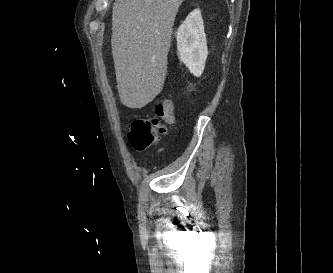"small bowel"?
<instances>
[{"label": "small bowel", "mask_w": 333, "mask_h": 273, "mask_svg": "<svg viewBox=\"0 0 333 273\" xmlns=\"http://www.w3.org/2000/svg\"><path fill=\"white\" fill-rule=\"evenodd\" d=\"M163 150H164V148H160V149L158 150V153L162 152Z\"/></svg>", "instance_id": "small-bowel-1"}]
</instances>
